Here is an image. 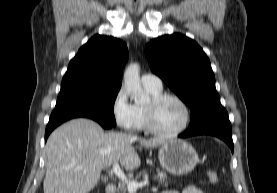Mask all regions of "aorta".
I'll list each match as a JSON object with an SVG mask.
<instances>
[{
	"instance_id": "1",
	"label": "aorta",
	"mask_w": 277,
	"mask_h": 193,
	"mask_svg": "<svg viewBox=\"0 0 277 193\" xmlns=\"http://www.w3.org/2000/svg\"><path fill=\"white\" fill-rule=\"evenodd\" d=\"M124 87L126 92L137 102L148 101V96L141 87L140 67L137 63L130 64L124 73Z\"/></svg>"
}]
</instances>
